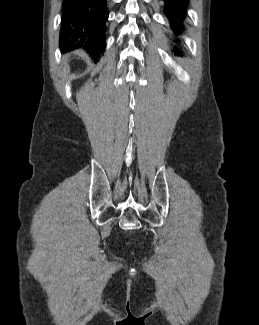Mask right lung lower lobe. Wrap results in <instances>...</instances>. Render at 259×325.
<instances>
[{"label": "right lung lower lobe", "instance_id": "obj_1", "mask_svg": "<svg viewBox=\"0 0 259 325\" xmlns=\"http://www.w3.org/2000/svg\"><path fill=\"white\" fill-rule=\"evenodd\" d=\"M106 0H64L60 47L64 50L84 48L98 56L105 45Z\"/></svg>", "mask_w": 259, "mask_h": 325}]
</instances>
